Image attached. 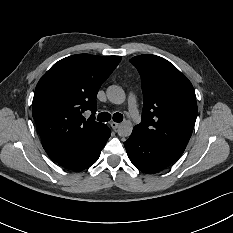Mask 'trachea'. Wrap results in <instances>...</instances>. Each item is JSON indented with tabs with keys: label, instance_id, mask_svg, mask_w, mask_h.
<instances>
[{
	"label": "trachea",
	"instance_id": "trachea-1",
	"mask_svg": "<svg viewBox=\"0 0 233 233\" xmlns=\"http://www.w3.org/2000/svg\"><path fill=\"white\" fill-rule=\"evenodd\" d=\"M111 119V115L108 112H102L98 114L97 120L100 122H107ZM113 120L115 122H122L123 120V115L120 113H115L113 115Z\"/></svg>",
	"mask_w": 233,
	"mask_h": 233
}]
</instances>
